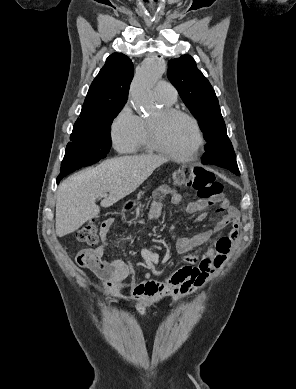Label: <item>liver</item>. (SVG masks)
I'll return each instance as SVG.
<instances>
[{
  "mask_svg": "<svg viewBox=\"0 0 296 389\" xmlns=\"http://www.w3.org/2000/svg\"><path fill=\"white\" fill-rule=\"evenodd\" d=\"M166 161L158 155L118 157L82 170L63 181L56 200L57 236L70 234L98 216L100 207L95 203L98 197L106 195L101 201L102 207L113 205L134 192Z\"/></svg>",
  "mask_w": 296,
  "mask_h": 389,
  "instance_id": "6515ba94",
  "label": "liver"
}]
</instances>
